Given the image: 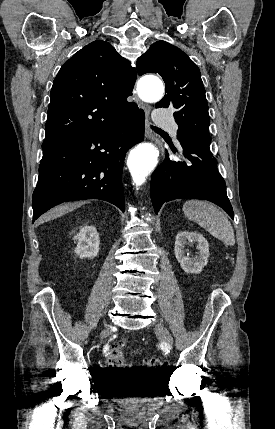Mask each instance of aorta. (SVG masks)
Returning <instances> with one entry per match:
<instances>
[{
	"label": "aorta",
	"instance_id": "762f6f07",
	"mask_svg": "<svg viewBox=\"0 0 275 429\" xmlns=\"http://www.w3.org/2000/svg\"><path fill=\"white\" fill-rule=\"evenodd\" d=\"M139 95L146 102H157L164 95L163 83L157 77L143 78L139 83ZM158 156V149L152 143L139 144L131 152L128 165L136 186L145 183L158 162Z\"/></svg>",
	"mask_w": 275,
	"mask_h": 429
}]
</instances>
